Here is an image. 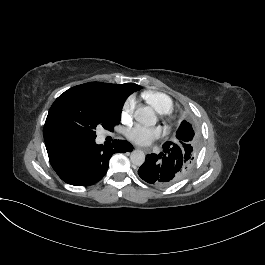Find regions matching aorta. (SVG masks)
Segmentation results:
<instances>
[{
	"instance_id": "aorta-1",
	"label": "aorta",
	"mask_w": 265,
	"mask_h": 265,
	"mask_svg": "<svg viewBox=\"0 0 265 265\" xmlns=\"http://www.w3.org/2000/svg\"><path fill=\"white\" fill-rule=\"evenodd\" d=\"M135 119L145 126H153L156 124V116L151 107L145 106L138 108L135 112ZM133 165L141 166L145 162V154L141 150H134L130 155Z\"/></svg>"
}]
</instances>
